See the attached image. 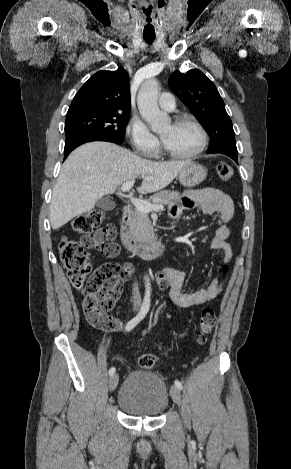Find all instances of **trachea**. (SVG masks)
<instances>
[{
	"label": "trachea",
	"instance_id": "3493384b",
	"mask_svg": "<svg viewBox=\"0 0 291 469\" xmlns=\"http://www.w3.org/2000/svg\"><path fill=\"white\" fill-rule=\"evenodd\" d=\"M144 39L148 44H151L154 41L155 37H144Z\"/></svg>",
	"mask_w": 291,
	"mask_h": 469
}]
</instances>
